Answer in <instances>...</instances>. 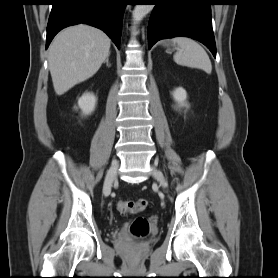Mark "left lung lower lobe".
<instances>
[{"mask_svg":"<svg viewBox=\"0 0 278 278\" xmlns=\"http://www.w3.org/2000/svg\"><path fill=\"white\" fill-rule=\"evenodd\" d=\"M155 5L148 25L149 49L158 40L177 36L203 43L216 57L212 0H149Z\"/></svg>","mask_w":278,"mask_h":278,"instance_id":"0a47b994","label":"left lung lower lobe"}]
</instances>
